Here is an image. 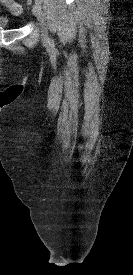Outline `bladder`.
I'll return each instance as SVG.
<instances>
[{"mask_svg": "<svg viewBox=\"0 0 133 275\" xmlns=\"http://www.w3.org/2000/svg\"><path fill=\"white\" fill-rule=\"evenodd\" d=\"M11 26V21L8 17L0 15V28H9Z\"/></svg>", "mask_w": 133, "mask_h": 275, "instance_id": "1", "label": "bladder"}]
</instances>
